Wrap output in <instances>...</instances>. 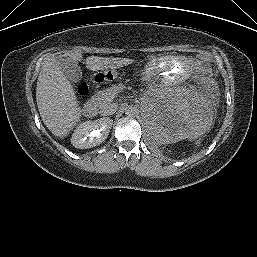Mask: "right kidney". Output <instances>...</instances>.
<instances>
[{
	"label": "right kidney",
	"instance_id": "right-kidney-1",
	"mask_svg": "<svg viewBox=\"0 0 257 257\" xmlns=\"http://www.w3.org/2000/svg\"><path fill=\"white\" fill-rule=\"evenodd\" d=\"M112 125L113 120L110 118L81 123L73 133L71 143L78 149L98 146L105 141Z\"/></svg>",
	"mask_w": 257,
	"mask_h": 257
}]
</instances>
